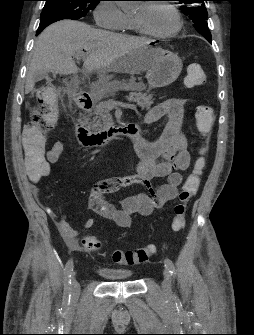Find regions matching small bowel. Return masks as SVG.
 Returning a JSON list of instances; mask_svg holds the SVG:
<instances>
[{"label":"small bowel","mask_w":254,"mask_h":335,"mask_svg":"<svg viewBox=\"0 0 254 335\" xmlns=\"http://www.w3.org/2000/svg\"><path fill=\"white\" fill-rule=\"evenodd\" d=\"M185 100L180 98L167 99L154 106L146 115L147 123H154L163 116L168 117V122L162 133L154 140L140 136L133 141L134 149L139 157L136 173L120 177L106 178L97 182L89 196L88 206L98 216L111 221L121 228H129L133 215H150L155 209L163 207L167 202L175 200L179 187L183 182V172L190 165L188 142L182 131ZM64 144L56 140L46 152L50 166L61 158ZM165 178L166 182L152 186V180ZM41 178H30L37 182ZM132 185H141L148 188V193H141L124 198L121 206L117 207L107 200L105 195ZM55 219L66 245L70 249H79L78 231L67 221L65 215ZM94 225L93 218H87L85 227ZM84 246V245H83Z\"/></svg>","instance_id":"obj_1"}]
</instances>
